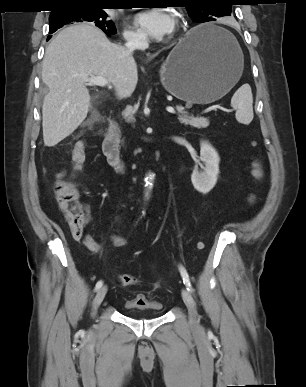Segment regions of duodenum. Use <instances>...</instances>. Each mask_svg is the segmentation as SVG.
Masks as SVG:
<instances>
[{
    "mask_svg": "<svg viewBox=\"0 0 306 387\" xmlns=\"http://www.w3.org/2000/svg\"><path fill=\"white\" fill-rule=\"evenodd\" d=\"M119 126L118 123L112 120L109 123L108 129L105 133L102 149L107 158L108 163L120 173L126 171V165L121 158L119 149Z\"/></svg>",
    "mask_w": 306,
    "mask_h": 387,
    "instance_id": "410a0bca",
    "label": "duodenum"
}]
</instances>
